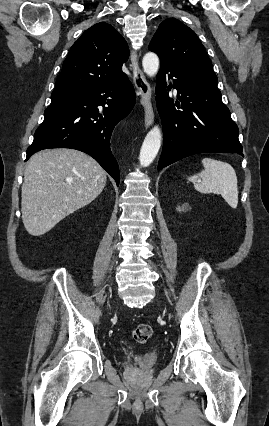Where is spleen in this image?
Segmentation results:
<instances>
[{
    "label": "spleen",
    "mask_w": 269,
    "mask_h": 426,
    "mask_svg": "<svg viewBox=\"0 0 269 426\" xmlns=\"http://www.w3.org/2000/svg\"><path fill=\"white\" fill-rule=\"evenodd\" d=\"M202 164L204 170L188 177L194 188L203 194H219L231 208H237L238 186L234 168L226 162L212 158H204Z\"/></svg>",
    "instance_id": "1"
}]
</instances>
